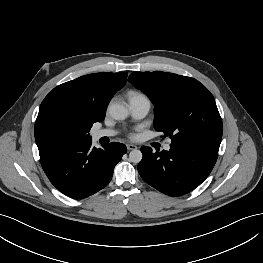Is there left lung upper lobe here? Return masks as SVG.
Masks as SVG:
<instances>
[{"label":"left lung upper lobe","instance_id":"obj_1","mask_svg":"<svg viewBox=\"0 0 263 263\" xmlns=\"http://www.w3.org/2000/svg\"><path fill=\"white\" fill-rule=\"evenodd\" d=\"M128 81L151 99L154 128L172 144L220 145L222 120L213 95L199 81L166 72H133Z\"/></svg>","mask_w":263,"mask_h":263}]
</instances>
